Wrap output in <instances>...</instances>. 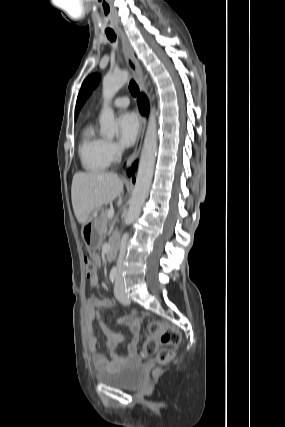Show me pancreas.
I'll return each mask as SVG.
<instances>
[{
  "mask_svg": "<svg viewBox=\"0 0 285 427\" xmlns=\"http://www.w3.org/2000/svg\"><path fill=\"white\" fill-rule=\"evenodd\" d=\"M108 212L109 209L103 210L100 216L99 229L102 233L105 232L108 223Z\"/></svg>",
  "mask_w": 285,
  "mask_h": 427,
  "instance_id": "obj_1",
  "label": "pancreas"
}]
</instances>
